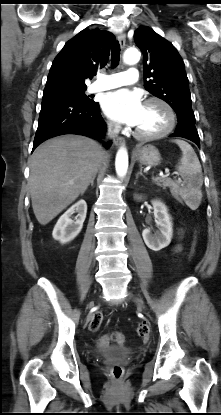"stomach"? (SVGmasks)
Returning <instances> with one entry per match:
<instances>
[{
	"label": "stomach",
	"instance_id": "obj_1",
	"mask_svg": "<svg viewBox=\"0 0 221 415\" xmlns=\"http://www.w3.org/2000/svg\"><path fill=\"white\" fill-rule=\"evenodd\" d=\"M133 157L142 165L156 166L161 162V155L153 145L137 146Z\"/></svg>",
	"mask_w": 221,
	"mask_h": 415
}]
</instances>
